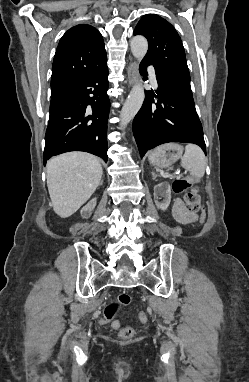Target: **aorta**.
Returning <instances> with one entry per match:
<instances>
[{
    "instance_id": "obj_1",
    "label": "aorta",
    "mask_w": 249,
    "mask_h": 382,
    "mask_svg": "<svg viewBox=\"0 0 249 382\" xmlns=\"http://www.w3.org/2000/svg\"><path fill=\"white\" fill-rule=\"evenodd\" d=\"M131 51L133 56L141 61L148 50V42L143 36H135L132 38L131 43ZM144 88L141 82H138L133 86L128 98L120 112V128L124 129L128 123L135 117L137 112L142 106L144 101Z\"/></svg>"
}]
</instances>
